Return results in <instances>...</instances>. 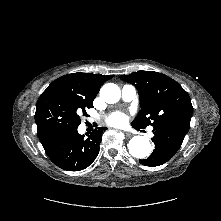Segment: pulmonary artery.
<instances>
[{"mask_svg":"<svg viewBox=\"0 0 221 221\" xmlns=\"http://www.w3.org/2000/svg\"><path fill=\"white\" fill-rule=\"evenodd\" d=\"M121 96L125 102H130L136 96V88L130 84L124 85L121 90Z\"/></svg>","mask_w":221,"mask_h":221,"instance_id":"1","label":"pulmonary artery"}]
</instances>
